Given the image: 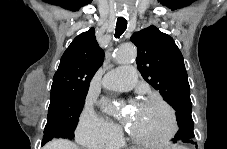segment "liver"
Listing matches in <instances>:
<instances>
[{"label":"liver","instance_id":"6515ba94","mask_svg":"<svg viewBox=\"0 0 227 149\" xmlns=\"http://www.w3.org/2000/svg\"><path fill=\"white\" fill-rule=\"evenodd\" d=\"M44 149H79V147L67 140H53L44 146Z\"/></svg>","mask_w":227,"mask_h":149}]
</instances>
